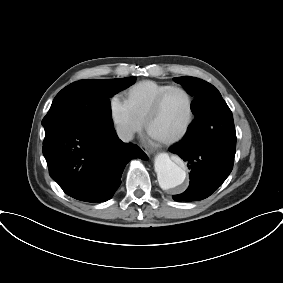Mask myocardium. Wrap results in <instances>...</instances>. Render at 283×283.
<instances>
[{
  "instance_id": "obj_1",
  "label": "myocardium",
  "mask_w": 283,
  "mask_h": 283,
  "mask_svg": "<svg viewBox=\"0 0 283 283\" xmlns=\"http://www.w3.org/2000/svg\"><path fill=\"white\" fill-rule=\"evenodd\" d=\"M181 91L183 92L188 100V117L186 119L185 124L183 127L173 136L165 138V139H158L161 143L164 144H172L177 141H179L181 138L184 137V135L188 132L190 126L193 123L194 116H195V111H194V97L191 94V92L185 88L184 86L181 85H171L165 90H163L155 99L153 102L151 108L149 109L145 119H144V127L145 130L149 133V124L152 121V119L158 114L166 96L172 92V91Z\"/></svg>"
}]
</instances>
